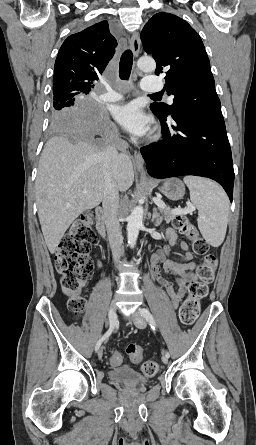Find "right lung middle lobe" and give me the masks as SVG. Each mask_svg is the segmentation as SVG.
Here are the masks:
<instances>
[{
	"label": "right lung middle lobe",
	"mask_w": 256,
	"mask_h": 445,
	"mask_svg": "<svg viewBox=\"0 0 256 445\" xmlns=\"http://www.w3.org/2000/svg\"><path fill=\"white\" fill-rule=\"evenodd\" d=\"M87 93L70 91L61 95H54L51 114V127L54 131L68 130L70 135L71 125L78 122L79 114L87 102Z\"/></svg>",
	"instance_id": "obj_1"
}]
</instances>
